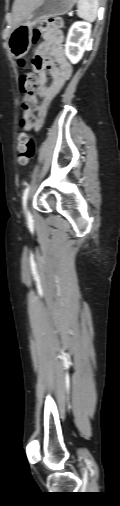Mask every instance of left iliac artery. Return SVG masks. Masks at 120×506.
Masks as SVG:
<instances>
[{
  "instance_id": "left-iliac-artery-1",
  "label": "left iliac artery",
  "mask_w": 120,
  "mask_h": 506,
  "mask_svg": "<svg viewBox=\"0 0 120 506\" xmlns=\"http://www.w3.org/2000/svg\"><path fill=\"white\" fill-rule=\"evenodd\" d=\"M29 185L25 188L24 192H23V197H22V202H23V208L25 210L26 208V201H27V197H28V194H29Z\"/></svg>"
}]
</instances>
